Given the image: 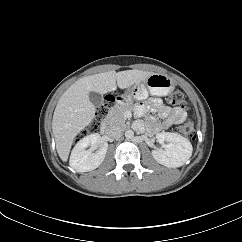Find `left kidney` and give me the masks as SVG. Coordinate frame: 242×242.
Listing matches in <instances>:
<instances>
[{"mask_svg": "<svg viewBox=\"0 0 242 242\" xmlns=\"http://www.w3.org/2000/svg\"><path fill=\"white\" fill-rule=\"evenodd\" d=\"M157 139L163 144V148L153 151V156L162 165L179 167L192 155L193 148L190 141L177 133H159Z\"/></svg>", "mask_w": 242, "mask_h": 242, "instance_id": "obj_1", "label": "left kidney"}]
</instances>
